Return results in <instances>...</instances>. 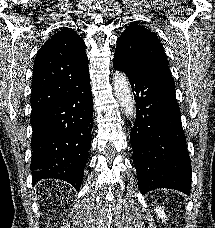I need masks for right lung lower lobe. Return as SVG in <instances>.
Wrapping results in <instances>:
<instances>
[{"label": "right lung lower lobe", "mask_w": 215, "mask_h": 228, "mask_svg": "<svg viewBox=\"0 0 215 228\" xmlns=\"http://www.w3.org/2000/svg\"><path fill=\"white\" fill-rule=\"evenodd\" d=\"M90 77L70 82L67 94L31 115L32 181L55 178L79 189L92 129Z\"/></svg>", "instance_id": "right-lung-lower-lobe-1"}]
</instances>
